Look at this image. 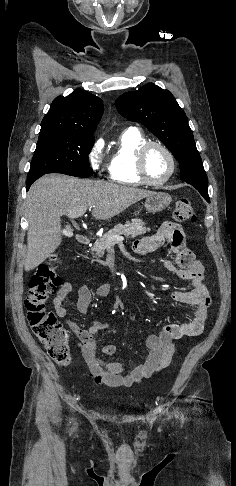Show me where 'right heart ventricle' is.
<instances>
[{
    "instance_id": "e07e8e85",
    "label": "right heart ventricle",
    "mask_w": 236,
    "mask_h": 486,
    "mask_svg": "<svg viewBox=\"0 0 236 486\" xmlns=\"http://www.w3.org/2000/svg\"><path fill=\"white\" fill-rule=\"evenodd\" d=\"M147 141L137 128L123 131L109 160V176L116 183L139 186L144 184L136 171V152Z\"/></svg>"
}]
</instances>
